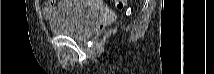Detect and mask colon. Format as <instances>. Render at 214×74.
Returning <instances> with one entry per match:
<instances>
[{
    "mask_svg": "<svg viewBox=\"0 0 214 74\" xmlns=\"http://www.w3.org/2000/svg\"><path fill=\"white\" fill-rule=\"evenodd\" d=\"M116 5L117 8L119 9H122L125 7L127 1L126 0H116V1H113Z\"/></svg>",
    "mask_w": 214,
    "mask_h": 74,
    "instance_id": "colon-1",
    "label": "colon"
}]
</instances>
